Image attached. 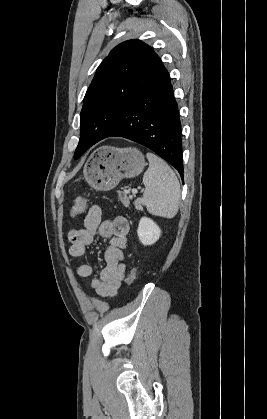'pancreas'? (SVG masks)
<instances>
[{"label": "pancreas", "mask_w": 267, "mask_h": 419, "mask_svg": "<svg viewBox=\"0 0 267 419\" xmlns=\"http://www.w3.org/2000/svg\"><path fill=\"white\" fill-rule=\"evenodd\" d=\"M121 202L123 203L124 206L128 207L129 203H130L129 197H127L126 195L122 196L121 197ZM142 204H143V200L141 198H137L134 201V206L137 210H142L143 209Z\"/></svg>", "instance_id": "cf45deb5"}]
</instances>
